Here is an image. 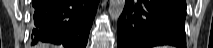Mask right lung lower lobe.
<instances>
[{
	"instance_id": "obj_1",
	"label": "right lung lower lobe",
	"mask_w": 213,
	"mask_h": 48,
	"mask_svg": "<svg viewBox=\"0 0 213 48\" xmlns=\"http://www.w3.org/2000/svg\"><path fill=\"white\" fill-rule=\"evenodd\" d=\"M99 0H32V44L85 48Z\"/></svg>"
}]
</instances>
